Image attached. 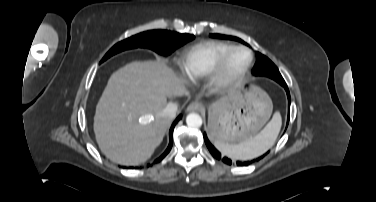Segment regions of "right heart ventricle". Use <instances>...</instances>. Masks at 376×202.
<instances>
[{"instance_id":"1","label":"right heart ventricle","mask_w":376,"mask_h":202,"mask_svg":"<svg viewBox=\"0 0 376 202\" xmlns=\"http://www.w3.org/2000/svg\"><path fill=\"white\" fill-rule=\"evenodd\" d=\"M232 44L221 41H205L186 50L179 62L182 75L189 81L207 77L219 58Z\"/></svg>"}]
</instances>
